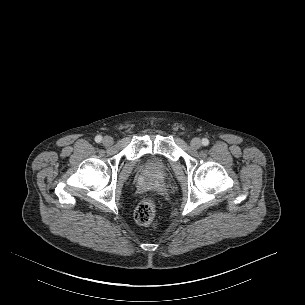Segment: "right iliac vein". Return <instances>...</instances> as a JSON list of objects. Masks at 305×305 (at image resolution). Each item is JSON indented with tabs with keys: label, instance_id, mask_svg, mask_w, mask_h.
<instances>
[{
	"label": "right iliac vein",
	"instance_id": "63e3f726",
	"mask_svg": "<svg viewBox=\"0 0 305 305\" xmlns=\"http://www.w3.org/2000/svg\"><path fill=\"white\" fill-rule=\"evenodd\" d=\"M103 144H104L105 146H111V145L113 144V138L110 137V136H105V137L103 138Z\"/></svg>",
	"mask_w": 305,
	"mask_h": 305
}]
</instances>
